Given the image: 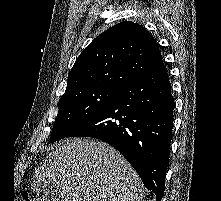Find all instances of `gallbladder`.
Listing matches in <instances>:
<instances>
[{"label":"gallbladder","instance_id":"bac80fb5","mask_svg":"<svg viewBox=\"0 0 221 201\" xmlns=\"http://www.w3.org/2000/svg\"><path fill=\"white\" fill-rule=\"evenodd\" d=\"M37 194L40 201H57L60 198V193L55 187L41 188Z\"/></svg>","mask_w":221,"mask_h":201}]
</instances>
